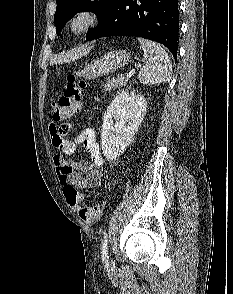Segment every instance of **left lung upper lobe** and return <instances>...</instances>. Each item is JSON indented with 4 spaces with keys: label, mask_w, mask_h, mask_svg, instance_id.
I'll use <instances>...</instances> for the list:
<instances>
[{
    "label": "left lung upper lobe",
    "mask_w": 233,
    "mask_h": 294,
    "mask_svg": "<svg viewBox=\"0 0 233 294\" xmlns=\"http://www.w3.org/2000/svg\"><path fill=\"white\" fill-rule=\"evenodd\" d=\"M115 1L116 0H56L57 8L54 15V23L57 34L60 33V30L64 27L66 22L78 12H94L99 18V26L108 15ZM98 26L94 30H96ZM94 30L88 31L86 35L87 40Z\"/></svg>",
    "instance_id": "left-lung-upper-lobe-1"
}]
</instances>
